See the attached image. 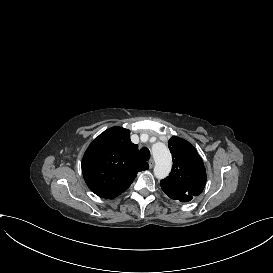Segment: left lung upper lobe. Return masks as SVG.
Masks as SVG:
<instances>
[{
	"mask_svg": "<svg viewBox=\"0 0 273 273\" xmlns=\"http://www.w3.org/2000/svg\"><path fill=\"white\" fill-rule=\"evenodd\" d=\"M173 166L169 176L160 182L171 199L187 202L198 196L206 184V170L196 149L186 140L173 136L168 141Z\"/></svg>",
	"mask_w": 273,
	"mask_h": 273,
	"instance_id": "left-lung-upper-lobe-1",
	"label": "left lung upper lobe"
}]
</instances>
